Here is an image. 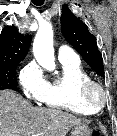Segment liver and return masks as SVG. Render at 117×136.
I'll list each match as a JSON object with an SVG mask.
<instances>
[{
  "label": "liver",
  "instance_id": "6515ba94",
  "mask_svg": "<svg viewBox=\"0 0 117 136\" xmlns=\"http://www.w3.org/2000/svg\"><path fill=\"white\" fill-rule=\"evenodd\" d=\"M81 123L68 112L33 107L14 91H0V136H65Z\"/></svg>",
  "mask_w": 117,
  "mask_h": 136
}]
</instances>
